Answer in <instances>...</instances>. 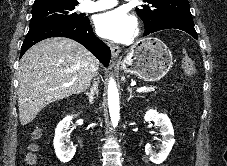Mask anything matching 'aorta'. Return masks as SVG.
Returning a JSON list of instances; mask_svg holds the SVG:
<instances>
[{"instance_id":"obj_1","label":"aorta","mask_w":227,"mask_h":166,"mask_svg":"<svg viewBox=\"0 0 227 166\" xmlns=\"http://www.w3.org/2000/svg\"><path fill=\"white\" fill-rule=\"evenodd\" d=\"M108 107L112 124L116 127L120 119L119 93L116 83L112 78L108 85Z\"/></svg>"}]
</instances>
